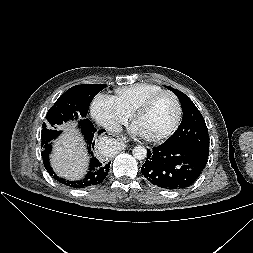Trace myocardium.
<instances>
[{"instance_id":"1","label":"myocardium","mask_w":253,"mask_h":253,"mask_svg":"<svg viewBox=\"0 0 253 253\" xmlns=\"http://www.w3.org/2000/svg\"><path fill=\"white\" fill-rule=\"evenodd\" d=\"M163 95H170L173 98L176 105V116L172 125L163 134L156 137L145 136V138L150 142H162L166 140L167 138H169L178 128L181 118H182V106H181L178 96L170 90H161L153 94L152 96L148 97L147 99H145L131 116L132 123L135 125L137 119L140 118L143 114H145L151 108L153 103Z\"/></svg>"}]
</instances>
